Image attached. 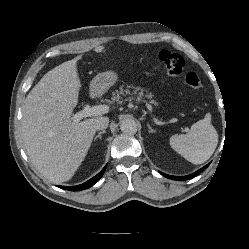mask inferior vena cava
I'll return each mask as SVG.
<instances>
[{
    "mask_svg": "<svg viewBox=\"0 0 249 249\" xmlns=\"http://www.w3.org/2000/svg\"><path fill=\"white\" fill-rule=\"evenodd\" d=\"M109 123V118L107 117H98L93 122V128L95 130H103L106 129Z\"/></svg>",
    "mask_w": 249,
    "mask_h": 249,
    "instance_id": "602c4592",
    "label": "inferior vena cava"
}]
</instances>
